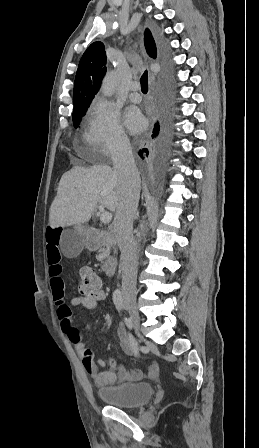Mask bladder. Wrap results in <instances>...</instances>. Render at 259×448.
<instances>
[{"mask_svg": "<svg viewBox=\"0 0 259 448\" xmlns=\"http://www.w3.org/2000/svg\"><path fill=\"white\" fill-rule=\"evenodd\" d=\"M154 393L153 386L148 383H124L98 391V396L105 404L134 408L147 403Z\"/></svg>", "mask_w": 259, "mask_h": 448, "instance_id": "obj_1", "label": "bladder"}]
</instances>
